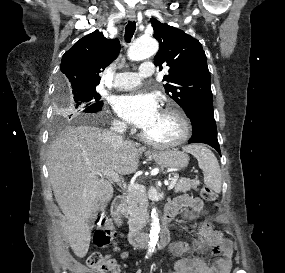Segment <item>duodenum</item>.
Instances as JSON below:
<instances>
[{"instance_id": "410a0bca", "label": "duodenum", "mask_w": 285, "mask_h": 273, "mask_svg": "<svg viewBox=\"0 0 285 273\" xmlns=\"http://www.w3.org/2000/svg\"><path fill=\"white\" fill-rule=\"evenodd\" d=\"M113 216L115 219H121L126 211V198L119 195L115 198L113 207ZM175 216L173 210L165 211L163 217V228L159 238V245L162 247L167 244L170 236V224ZM148 236L146 233L141 232L138 227L132 226L127 233V239L133 246L144 247Z\"/></svg>"}]
</instances>
